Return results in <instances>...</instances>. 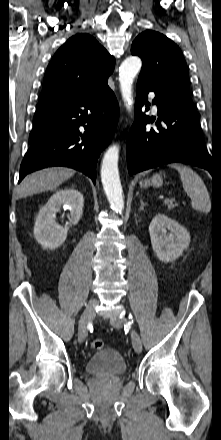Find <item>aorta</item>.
Returning <instances> with one entry per match:
<instances>
[{"label":"aorta","mask_w":221,"mask_h":440,"mask_svg":"<svg viewBox=\"0 0 221 440\" xmlns=\"http://www.w3.org/2000/svg\"><path fill=\"white\" fill-rule=\"evenodd\" d=\"M142 66L137 56L126 58L119 68V83L123 101L128 108L133 105L132 84ZM119 146L114 144L104 154L101 165V180L111 208L121 213L124 209L123 191L118 171Z\"/></svg>","instance_id":"aorta-1"}]
</instances>
